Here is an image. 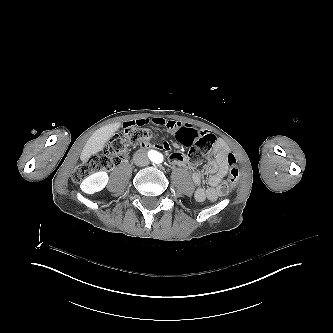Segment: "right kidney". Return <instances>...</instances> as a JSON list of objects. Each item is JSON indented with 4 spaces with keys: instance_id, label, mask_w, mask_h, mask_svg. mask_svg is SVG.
I'll return each instance as SVG.
<instances>
[{
    "instance_id": "1",
    "label": "right kidney",
    "mask_w": 333,
    "mask_h": 333,
    "mask_svg": "<svg viewBox=\"0 0 333 333\" xmlns=\"http://www.w3.org/2000/svg\"><path fill=\"white\" fill-rule=\"evenodd\" d=\"M109 181V175L106 171H98L87 176L81 183L80 189L88 195L102 191Z\"/></svg>"
}]
</instances>
